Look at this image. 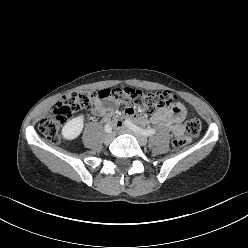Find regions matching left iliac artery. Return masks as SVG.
Returning <instances> with one entry per match:
<instances>
[{
    "mask_svg": "<svg viewBox=\"0 0 248 248\" xmlns=\"http://www.w3.org/2000/svg\"><path fill=\"white\" fill-rule=\"evenodd\" d=\"M125 125L132 129L133 131L142 134L146 137L152 136L153 134H155V130L154 129H142L140 127H138L137 125L133 124L131 121L126 120L125 121Z\"/></svg>",
    "mask_w": 248,
    "mask_h": 248,
    "instance_id": "left-iliac-artery-1",
    "label": "left iliac artery"
}]
</instances>
